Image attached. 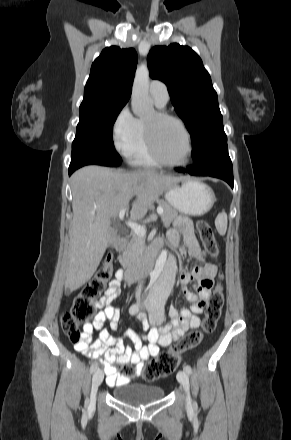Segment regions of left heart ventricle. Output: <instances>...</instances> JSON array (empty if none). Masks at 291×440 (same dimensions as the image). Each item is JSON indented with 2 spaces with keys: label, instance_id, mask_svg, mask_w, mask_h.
<instances>
[{
  "label": "left heart ventricle",
  "instance_id": "obj_1",
  "mask_svg": "<svg viewBox=\"0 0 291 440\" xmlns=\"http://www.w3.org/2000/svg\"><path fill=\"white\" fill-rule=\"evenodd\" d=\"M154 126V138L162 157L169 162H181L187 154L186 137L180 126L171 121H158L154 112L145 118Z\"/></svg>",
  "mask_w": 291,
  "mask_h": 440
}]
</instances>
